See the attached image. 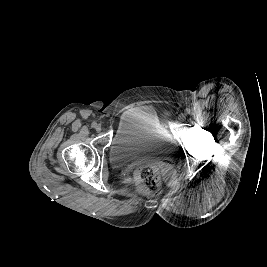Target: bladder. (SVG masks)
I'll return each mask as SVG.
<instances>
[{
	"mask_svg": "<svg viewBox=\"0 0 267 267\" xmlns=\"http://www.w3.org/2000/svg\"><path fill=\"white\" fill-rule=\"evenodd\" d=\"M167 134L155 111L137 107L126 111L117 126L108 159L112 165L136 163L168 147Z\"/></svg>",
	"mask_w": 267,
	"mask_h": 267,
	"instance_id": "obj_1",
	"label": "bladder"
}]
</instances>
